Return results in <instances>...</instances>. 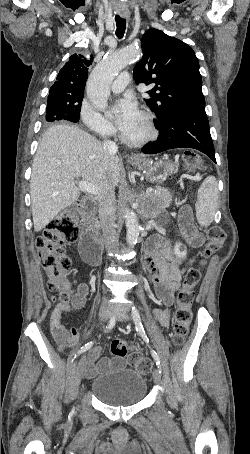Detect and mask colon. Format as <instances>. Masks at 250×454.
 Here are the masks:
<instances>
[{
  "label": "colon",
  "instance_id": "colon-1",
  "mask_svg": "<svg viewBox=\"0 0 250 454\" xmlns=\"http://www.w3.org/2000/svg\"><path fill=\"white\" fill-rule=\"evenodd\" d=\"M184 161L189 169L196 170L203 167L200 157L193 151L184 154ZM79 235L78 215L74 209H68L53 219L46 227L44 233L37 238L36 248L44 271L48 277L47 286L51 291L58 292L63 302L70 296V284L67 276L71 262L65 255L64 245L74 242ZM226 234L220 226H214L207 231V243L202 252L203 259L209 258L214 252L221 249ZM200 279V271L191 269L187 272L181 288L175 297V312L172 341L180 346L190 331L192 322L193 289ZM111 352L114 356L127 357L131 366L140 373L146 374L152 369L150 359L137 352H132L130 347L122 340L116 339L111 343Z\"/></svg>",
  "mask_w": 250,
  "mask_h": 454
}]
</instances>
